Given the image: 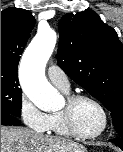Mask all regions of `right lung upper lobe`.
I'll return each instance as SVG.
<instances>
[{"label":"right lung upper lobe","instance_id":"obj_1","mask_svg":"<svg viewBox=\"0 0 123 152\" xmlns=\"http://www.w3.org/2000/svg\"><path fill=\"white\" fill-rule=\"evenodd\" d=\"M35 18L30 11L10 7L1 12V71L16 72L31 36Z\"/></svg>","mask_w":123,"mask_h":152}]
</instances>
